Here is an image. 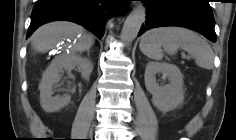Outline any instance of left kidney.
<instances>
[{"label":"left kidney","mask_w":236,"mask_h":140,"mask_svg":"<svg viewBox=\"0 0 236 140\" xmlns=\"http://www.w3.org/2000/svg\"><path fill=\"white\" fill-rule=\"evenodd\" d=\"M162 73L170 83L159 86L156 74ZM146 89L152 94V103L160 111L176 109L184 101L183 75L180 69L170 63L149 62L144 74Z\"/></svg>","instance_id":"1"}]
</instances>
